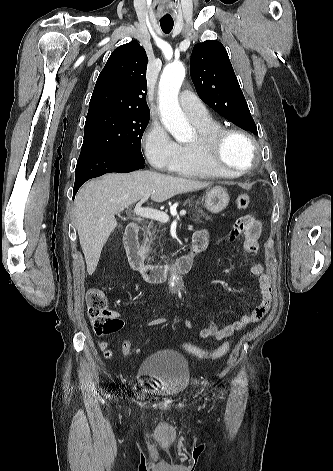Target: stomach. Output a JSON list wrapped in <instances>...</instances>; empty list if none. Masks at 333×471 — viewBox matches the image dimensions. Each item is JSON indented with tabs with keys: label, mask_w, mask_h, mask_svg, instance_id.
Masks as SVG:
<instances>
[{
	"label": "stomach",
	"mask_w": 333,
	"mask_h": 471,
	"mask_svg": "<svg viewBox=\"0 0 333 471\" xmlns=\"http://www.w3.org/2000/svg\"><path fill=\"white\" fill-rule=\"evenodd\" d=\"M230 200L229 194L225 188L217 186L209 190L204 198L205 208L213 213L217 214L222 212L228 205Z\"/></svg>",
	"instance_id": "obj_1"
}]
</instances>
